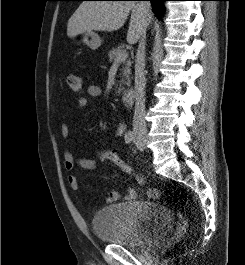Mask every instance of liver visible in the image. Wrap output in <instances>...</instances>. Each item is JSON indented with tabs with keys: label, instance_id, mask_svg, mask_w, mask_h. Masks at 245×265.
Here are the masks:
<instances>
[{
	"label": "liver",
	"instance_id": "1",
	"mask_svg": "<svg viewBox=\"0 0 245 265\" xmlns=\"http://www.w3.org/2000/svg\"><path fill=\"white\" fill-rule=\"evenodd\" d=\"M131 19L127 33V42L134 44L140 38L147 23L138 3L131 1H84L68 21L67 35L71 38L80 33L91 31L113 32L119 30L129 16Z\"/></svg>",
	"mask_w": 245,
	"mask_h": 265
}]
</instances>
